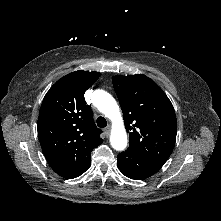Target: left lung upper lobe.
<instances>
[{
	"label": "left lung upper lobe",
	"instance_id": "obj_1",
	"mask_svg": "<svg viewBox=\"0 0 221 221\" xmlns=\"http://www.w3.org/2000/svg\"><path fill=\"white\" fill-rule=\"evenodd\" d=\"M112 82L129 133L128 149L164 164L173 151L177 134L172 103L143 74L114 76Z\"/></svg>",
	"mask_w": 221,
	"mask_h": 221
}]
</instances>
